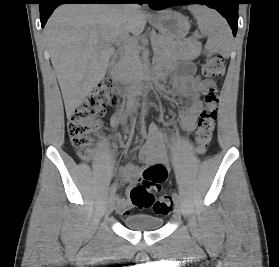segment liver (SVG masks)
Here are the masks:
<instances>
[{"mask_svg":"<svg viewBox=\"0 0 279 267\" xmlns=\"http://www.w3.org/2000/svg\"><path fill=\"white\" fill-rule=\"evenodd\" d=\"M145 25L139 8L127 13L116 4H65L54 11L44 34L68 118L105 77L112 44L140 35Z\"/></svg>","mask_w":279,"mask_h":267,"instance_id":"1","label":"liver"}]
</instances>
